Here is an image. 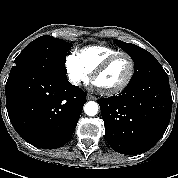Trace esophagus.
<instances>
[{"mask_svg": "<svg viewBox=\"0 0 178 178\" xmlns=\"http://www.w3.org/2000/svg\"><path fill=\"white\" fill-rule=\"evenodd\" d=\"M87 100H96V97L91 95V94H88L87 95Z\"/></svg>", "mask_w": 178, "mask_h": 178, "instance_id": "1", "label": "esophagus"}]
</instances>
